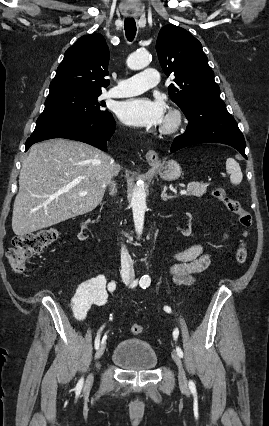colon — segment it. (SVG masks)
Here are the masks:
<instances>
[{"label":"colon","mask_w":269,"mask_h":426,"mask_svg":"<svg viewBox=\"0 0 269 426\" xmlns=\"http://www.w3.org/2000/svg\"><path fill=\"white\" fill-rule=\"evenodd\" d=\"M212 196L219 201L228 212L238 217L240 226L243 228V237H246L248 229L253 224L251 213L243 208L241 203L229 197L222 187H216L212 190ZM58 238V232L53 228H44L35 232L17 235L12 240V246L6 252V258L11 268L18 273L25 270L27 259L40 253L45 248L52 245ZM248 255L247 243L243 238L240 240L235 253L237 264H243ZM144 331L141 324H133L131 332L140 335Z\"/></svg>","instance_id":"5ec220e1"}]
</instances>
